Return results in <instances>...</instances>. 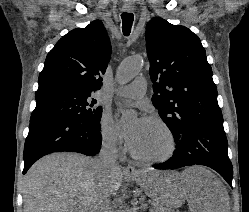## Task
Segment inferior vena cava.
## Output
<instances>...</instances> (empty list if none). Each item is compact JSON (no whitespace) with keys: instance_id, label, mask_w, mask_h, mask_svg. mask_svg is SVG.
Wrapping results in <instances>:
<instances>
[{"instance_id":"inferior-vena-cava-1","label":"inferior vena cava","mask_w":249,"mask_h":212,"mask_svg":"<svg viewBox=\"0 0 249 212\" xmlns=\"http://www.w3.org/2000/svg\"><path fill=\"white\" fill-rule=\"evenodd\" d=\"M118 150L116 146V140H104L102 142L101 150L96 156L94 162L97 164V168L101 170V188H106L109 180L108 174H110L112 168H119L117 164ZM103 194H107L105 190H102ZM110 196V194H107ZM109 198L102 202V212H111Z\"/></svg>"}]
</instances>
